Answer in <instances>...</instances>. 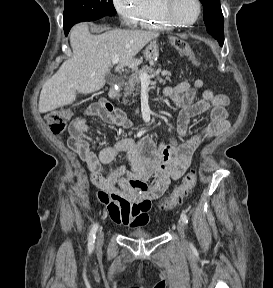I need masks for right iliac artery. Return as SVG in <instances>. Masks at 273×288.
I'll use <instances>...</instances> for the list:
<instances>
[{
  "label": "right iliac artery",
  "mask_w": 273,
  "mask_h": 288,
  "mask_svg": "<svg viewBox=\"0 0 273 288\" xmlns=\"http://www.w3.org/2000/svg\"><path fill=\"white\" fill-rule=\"evenodd\" d=\"M98 230V224H94L90 230L89 237H88V250L92 252L94 249V243L96 238V232Z\"/></svg>",
  "instance_id": "obj_1"
}]
</instances>
